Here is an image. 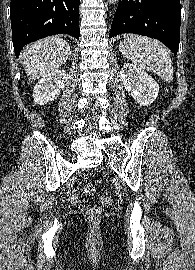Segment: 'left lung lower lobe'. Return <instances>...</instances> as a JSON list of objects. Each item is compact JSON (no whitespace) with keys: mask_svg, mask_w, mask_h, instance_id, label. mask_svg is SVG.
Returning a JSON list of instances; mask_svg holds the SVG:
<instances>
[{"mask_svg":"<svg viewBox=\"0 0 195 270\" xmlns=\"http://www.w3.org/2000/svg\"><path fill=\"white\" fill-rule=\"evenodd\" d=\"M180 0H119L109 38L135 33L160 40L173 53L180 42Z\"/></svg>","mask_w":195,"mask_h":270,"instance_id":"left-lung-lower-lobe-1","label":"left lung lower lobe"}]
</instances>
